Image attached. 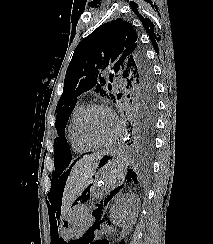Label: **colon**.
I'll return each instance as SVG.
<instances>
[{
	"mask_svg": "<svg viewBox=\"0 0 213 244\" xmlns=\"http://www.w3.org/2000/svg\"><path fill=\"white\" fill-rule=\"evenodd\" d=\"M96 244H105L104 242H98V243H96Z\"/></svg>",
	"mask_w": 213,
	"mask_h": 244,
	"instance_id": "1",
	"label": "colon"
}]
</instances>
